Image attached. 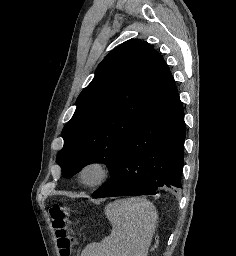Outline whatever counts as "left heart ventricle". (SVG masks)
<instances>
[{
  "label": "left heart ventricle",
  "mask_w": 236,
  "mask_h": 256,
  "mask_svg": "<svg viewBox=\"0 0 236 256\" xmlns=\"http://www.w3.org/2000/svg\"><path fill=\"white\" fill-rule=\"evenodd\" d=\"M98 174V170L94 167L87 168L84 172V180L92 181Z\"/></svg>",
  "instance_id": "b2bd125f"
}]
</instances>
